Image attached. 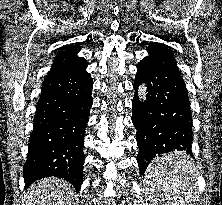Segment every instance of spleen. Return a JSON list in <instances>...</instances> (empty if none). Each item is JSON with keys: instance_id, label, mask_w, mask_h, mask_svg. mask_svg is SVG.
Returning a JSON list of instances; mask_svg holds the SVG:
<instances>
[{"instance_id": "obj_1", "label": "spleen", "mask_w": 222, "mask_h": 205, "mask_svg": "<svg viewBox=\"0 0 222 205\" xmlns=\"http://www.w3.org/2000/svg\"><path fill=\"white\" fill-rule=\"evenodd\" d=\"M148 205H198L194 166L182 154L156 157L144 175Z\"/></svg>"}]
</instances>
